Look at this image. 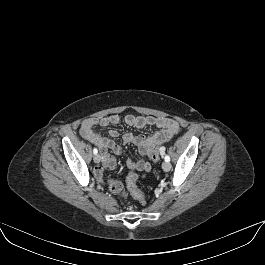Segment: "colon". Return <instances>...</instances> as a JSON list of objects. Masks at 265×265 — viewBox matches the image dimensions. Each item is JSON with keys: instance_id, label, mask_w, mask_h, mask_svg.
Segmentation results:
<instances>
[{"instance_id": "obj_1", "label": "colon", "mask_w": 265, "mask_h": 265, "mask_svg": "<svg viewBox=\"0 0 265 265\" xmlns=\"http://www.w3.org/2000/svg\"><path fill=\"white\" fill-rule=\"evenodd\" d=\"M164 152H165L164 146H161V145L157 146L156 148H154L152 150V152L149 155V158L153 162H157V161H159L161 156L164 154ZM137 179H138V175L134 171L129 172V174L127 175V178H126V186H127L128 191L130 192V194L135 199H137L139 201H144L145 197H144L143 192L137 186ZM108 187H109V190L114 194L124 195V193H125L123 184L120 181L110 179L108 181Z\"/></svg>"}]
</instances>
